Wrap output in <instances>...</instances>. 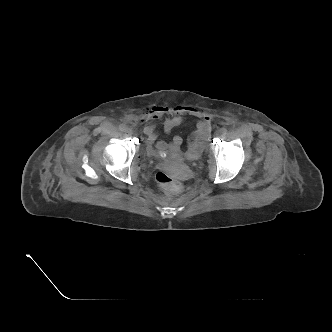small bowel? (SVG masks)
Segmentation results:
<instances>
[{
    "mask_svg": "<svg viewBox=\"0 0 332 332\" xmlns=\"http://www.w3.org/2000/svg\"><path fill=\"white\" fill-rule=\"evenodd\" d=\"M190 109L186 106H156L148 111L146 120H157L164 115H168L162 121V128L166 134H170L173 128L180 126L185 122V114H188ZM211 126L208 119L198 120L195 129L191 135L188 147L202 149L210 136ZM144 134L146 136L147 145L151 146L155 143L159 151L176 150L180 148L183 139L180 136H174L170 142L164 140H157L158 133L155 124L151 123L144 127Z\"/></svg>",
    "mask_w": 332,
    "mask_h": 332,
    "instance_id": "obj_1",
    "label": "small bowel"
}]
</instances>
